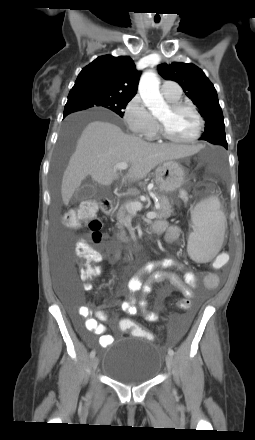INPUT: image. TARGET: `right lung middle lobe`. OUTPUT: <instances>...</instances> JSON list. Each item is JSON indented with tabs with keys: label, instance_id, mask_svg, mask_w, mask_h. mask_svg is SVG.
<instances>
[{
	"label": "right lung middle lobe",
	"instance_id": "1",
	"mask_svg": "<svg viewBox=\"0 0 255 440\" xmlns=\"http://www.w3.org/2000/svg\"><path fill=\"white\" fill-rule=\"evenodd\" d=\"M132 98L115 96L105 92L85 91L69 93L64 114L85 110L90 107H104L123 117V109Z\"/></svg>",
	"mask_w": 255,
	"mask_h": 440
}]
</instances>
